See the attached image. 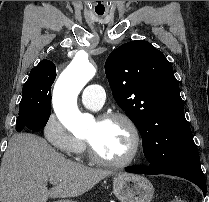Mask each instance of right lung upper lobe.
<instances>
[{
	"instance_id": "obj_1",
	"label": "right lung upper lobe",
	"mask_w": 209,
	"mask_h": 202,
	"mask_svg": "<svg viewBox=\"0 0 209 202\" xmlns=\"http://www.w3.org/2000/svg\"><path fill=\"white\" fill-rule=\"evenodd\" d=\"M34 76H56V66L50 60L44 59L31 70L29 78Z\"/></svg>"
}]
</instances>
